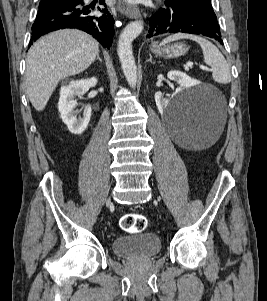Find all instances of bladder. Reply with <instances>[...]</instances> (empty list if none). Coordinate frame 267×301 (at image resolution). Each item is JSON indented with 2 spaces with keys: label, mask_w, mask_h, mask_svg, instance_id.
Instances as JSON below:
<instances>
[{
  "label": "bladder",
  "mask_w": 267,
  "mask_h": 301,
  "mask_svg": "<svg viewBox=\"0 0 267 301\" xmlns=\"http://www.w3.org/2000/svg\"><path fill=\"white\" fill-rule=\"evenodd\" d=\"M114 254L126 258H149L160 253L162 242L154 233L118 236L111 243Z\"/></svg>",
  "instance_id": "bladder-1"
}]
</instances>
